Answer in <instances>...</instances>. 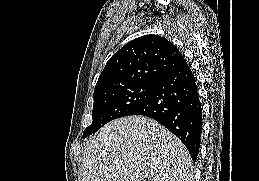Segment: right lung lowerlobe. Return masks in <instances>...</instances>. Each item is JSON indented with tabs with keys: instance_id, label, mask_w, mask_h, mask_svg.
I'll return each instance as SVG.
<instances>
[{
	"instance_id": "right-lung-lower-lobe-1",
	"label": "right lung lower lobe",
	"mask_w": 259,
	"mask_h": 181,
	"mask_svg": "<svg viewBox=\"0 0 259 181\" xmlns=\"http://www.w3.org/2000/svg\"><path fill=\"white\" fill-rule=\"evenodd\" d=\"M131 115L153 118L187 147L195 160L200 147L202 108L194 75L185 62L162 76L149 99Z\"/></svg>"
}]
</instances>
